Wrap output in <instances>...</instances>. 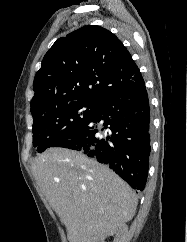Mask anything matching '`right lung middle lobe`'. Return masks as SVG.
Instances as JSON below:
<instances>
[{
    "instance_id": "obj_1",
    "label": "right lung middle lobe",
    "mask_w": 187,
    "mask_h": 242,
    "mask_svg": "<svg viewBox=\"0 0 187 242\" xmlns=\"http://www.w3.org/2000/svg\"><path fill=\"white\" fill-rule=\"evenodd\" d=\"M96 108L95 104L72 102L33 117V146L37 148V152L42 153L68 136L85 122Z\"/></svg>"
}]
</instances>
